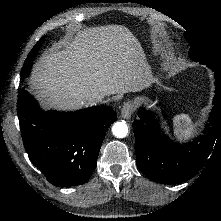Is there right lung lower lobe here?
Wrapping results in <instances>:
<instances>
[{
	"mask_svg": "<svg viewBox=\"0 0 221 221\" xmlns=\"http://www.w3.org/2000/svg\"><path fill=\"white\" fill-rule=\"evenodd\" d=\"M17 114L31 162L58 187L81 185L90 178L106 131L117 118L108 106L44 112L24 89L19 90Z\"/></svg>",
	"mask_w": 221,
	"mask_h": 221,
	"instance_id": "obj_1",
	"label": "right lung lower lobe"
}]
</instances>
